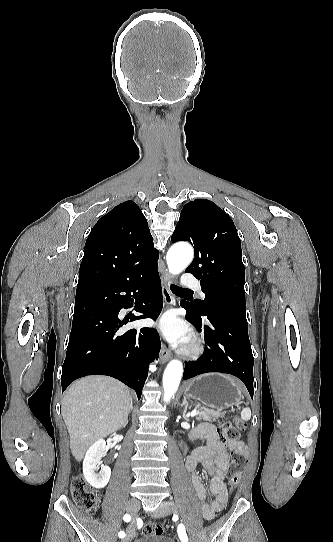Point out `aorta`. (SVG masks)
I'll return each mask as SVG.
<instances>
[{
  "label": "aorta",
  "instance_id": "762f6f07",
  "mask_svg": "<svg viewBox=\"0 0 333 542\" xmlns=\"http://www.w3.org/2000/svg\"><path fill=\"white\" fill-rule=\"evenodd\" d=\"M193 258V250L189 244H174L167 254V266L170 274H180L189 266ZM183 376V364L179 360H171L163 374L164 402H170L178 390Z\"/></svg>",
  "mask_w": 333,
  "mask_h": 542
}]
</instances>
